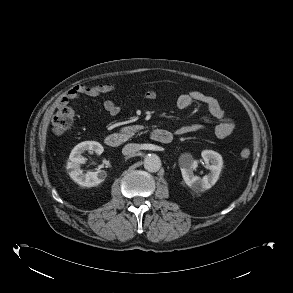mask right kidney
<instances>
[{
    "instance_id": "right-kidney-1",
    "label": "right kidney",
    "mask_w": 293,
    "mask_h": 293,
    "mask_svg": "<svg viewBox=\"0 0 293 293\" xmlns=\"http://www.w3.org/2000/svg\"><path fill=\"white\" fill-rule=\"evenodd\" d=\"M87 150L100 155L103 153L104 148L99 142L95 141H84L79 143L71 151L66 168L74 182L83 187H94L102 183L107 174L104 170L83 173L81 170V164H84L86 159L82 154Z\"/></svg>"
}]
</instances>
